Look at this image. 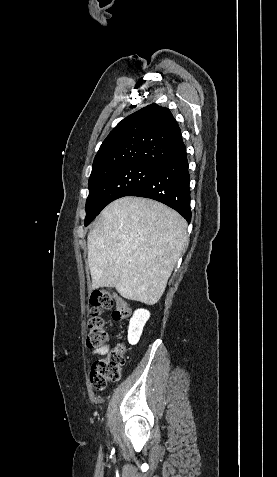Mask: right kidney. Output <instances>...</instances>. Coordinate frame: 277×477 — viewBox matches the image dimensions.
<instances>
[{"label":"right kidney","instance_id":"obj_1","mask_svg":"<svg viewBox=\"0 0 277 477\" xmlns=\"http://www.w3.org/2000/svg\"><path fill=\"white\" fill-rule=\"evenodd\" d=\"M150 317V312L145 309H138L134 312L129 323L128 342L131 345L138 343L145 323Z\"/></svg>","mask_w":277,"mask_h":477}]
</instances>
